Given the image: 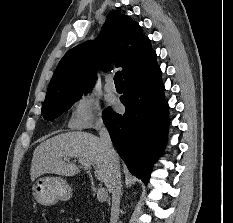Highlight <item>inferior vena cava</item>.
Instances as JSON below:
<instances>
[{"label":"inferior vena cava","instance_id":"obj_1","mask_svg":"<svg viewBox=\"0 0 233 223\" xmlns=\"http://www.w3.org/2000/svg\"><path fill=\"white\" fill-rule=\"evenodd\" d=\"M100 143L106 151L110 159V169L112 171L108 189L112 193L110 223H117L120 209V193H121V173L119 165L118 153L113 149L111 137L108 129L104 127L103 123H99Z\"/></svg>","mask_w":233,"mask_h":223}]
</instances>
